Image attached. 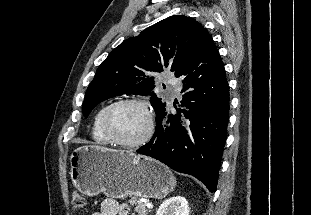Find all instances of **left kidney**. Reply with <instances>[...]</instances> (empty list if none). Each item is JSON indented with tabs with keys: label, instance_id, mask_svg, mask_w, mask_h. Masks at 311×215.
I'll use <instances>...</instances> for the list:
<instances>
[{
	"label": "left kidney",
	"instance_id": "obj_1",
	"mask_svg": "<svg viewBox=\"0 0 311 215\" xmlns=\"http://www.w3.org/2000/svg\"><path fill=\"white\" fill-rule=\"evenodd\" d=\"M156 215H189L188 202L182 196L169 198L159 206Z\"/></svg>",
	"mask_w": 311,
	"mask_h": 215
}]
</instances>
